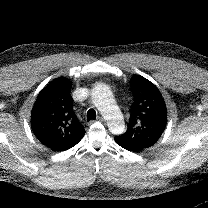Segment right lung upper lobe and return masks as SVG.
Masks as SVG:
<instances>
[{
	"mask_svg": "<svg viewBox=\"0 0 208 208\" xmlns=\"http://www.w3.org/2000/svg\"><path fill=\"white\" fill-rule=\"evenodd\" d=\"M72 82L64 77L47 84L38 94L31 112L37 139L53 151H64L83 138L85 129L73 110Z\"/></svg>",
	"mask_w": 208,
	"mask_h": 208,
	"instance_id": "cb5924a9",
	"label": "right lung upper lobe"
}]
</instances>
